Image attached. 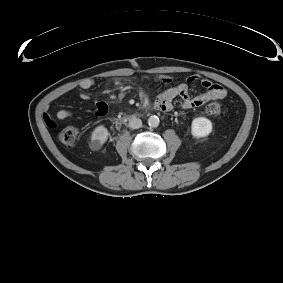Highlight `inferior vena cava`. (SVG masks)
<instances>
[{
  "label": "inferior vena cava",
  "mask_w": 283,
  "mask_h": 283,
  "mask_svg": "<svg viewBox=\"0 0 283 283\" xmlns=\"http://www.w3.org/2000/svg\"><path fill=\"white\" fill-rule=\"evenodd\" d=\"M128 125L131 129H138L142 126V121L139 118L133 117L130 119Z\"/></svg>",
  "instance_id": "obj_1"
}]
</instances>
